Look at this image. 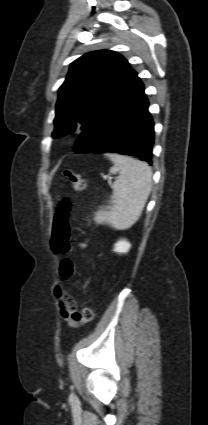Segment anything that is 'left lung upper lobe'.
<instances>
[{
  "label": "left lung upper lobe",
  "mask_w": 208,
  "mask_h": 425,
  "mask_svg": "<svg viewBox=\"0 0 208 425\" xmlns=\"http://www.w3.org/2000/svg\"><path fill=\"white\" fill-rule=\"evenodd\" d=\"M136 76L128 61L114 51H93L75 60L59 88L52 136L72 133L77 122L84 130ZM75 149L79 153L78 145Z\"/></svg>",
  "instance_id": "5c2ea615"
}]
</instances>
